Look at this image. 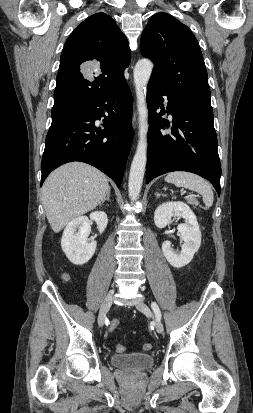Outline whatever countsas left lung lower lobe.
<instances>
[{
  "label": "left lung lower lobe",
  "mask_w": 253,
  "mask_h": 413,
  "mask_svg": "<svg viewBox=\"0 0 253 413\" xmlns=\"http://www.w3.org/2000/svg\"><path fill=\"white\" fill-rule=\"evenodd\" d=\"M163 96H167V114L173 116L171 135L160 129L169 127L161 117ZM149 132L146 183L172 171H188L209 180L220 195L221 165L217 150V136L213 113L172 96L166 88L150 79L147 91Z\"/></svg>",
  "instance_id": "left-lung-lower-lobe-1"
}]
</instances>
